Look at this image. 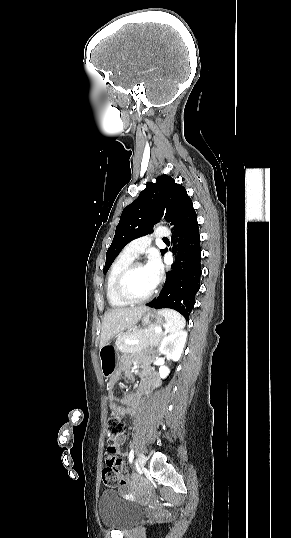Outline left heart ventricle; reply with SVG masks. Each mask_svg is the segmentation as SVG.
<instances>
[{
  "mask_svg": "<svg viewBox=\"0 0 291 538\" xmlns=\"http://www.w3.org/2000/svg\"><path fill=\"white\" fill-rule=\"evenodd\" d=\"M155 283L144 266L138 267L128 280V289L135 297L148 294Z\"/></svg>",
  "mask_w": 291,
  "mask_h": 538,
  "instance_id": "1",
  "label": "left heart ventricle"
}]
</instances>
